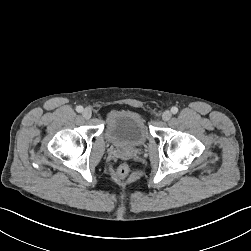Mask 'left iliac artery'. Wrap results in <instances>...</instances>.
I'll list each match as a JSON object with an SVG mask.
<instances>
[{
  "label": "left iliac artery",
  "mask_w": 251,
  "mask_h": 251,
  "mask_svg": "<svg viewBox=\"0 0 251 251\" xmlns=\"http://www.w3.org/2000/svg\"><path fill=\"white\" fill-rule=\"evenodd\" d=\"M171 112L173 113V114H176L177 112H178V108L177 107H172L171 108Z\"/></svg>",
  "instance_id": "left-iliac-artery-1"
}]
</instances>
